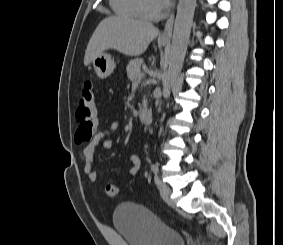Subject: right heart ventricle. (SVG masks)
Segmentation results:
<instances>
[{
  "instance_id": "obj_1",
  "label": "right heart ventricle",
  "mask_w": 283,
  "mask_h": 245,
  "mask_svg": "<svg viewBox=\"0 0 283 245\" xmlns=\"http://www.w3.org/2000/svg\"><path fill=\"white\" fill-rule=\"evenodd\" d=\"M112 10L120 16L139 17L136 0H109Z\"/></svg>"
}]
</instances>
